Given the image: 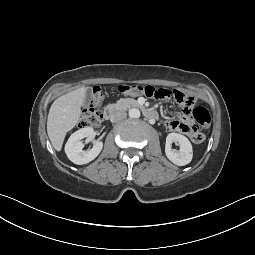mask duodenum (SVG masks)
<instances>
[{
	"instance_id": "410a0bca",
	"label": "duodenum",
	"mask_w": 255,
	"mask_h": 255,
	"mask_svg": "<svg viewBox=\"0 0 255 255\" xmlns=\"http://www.w3.org/2000/svg\"><path fill=\"white\" fill-rule=\"evenodd\" d=\"M133 106L134 107H140L141 105L137 102H134ZM117 112H118V107L117 106H114V105L107 106L105 108L104 112H103V117H104L105 120H111L112 118L115 117ZM144 114L150 120H155L158 117V114L155 111L150 110V109H145Z\"/></svg>"
}]
</instances>
